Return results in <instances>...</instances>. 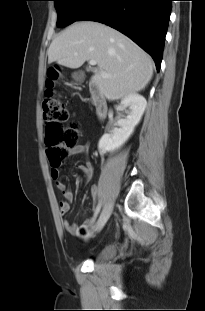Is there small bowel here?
I'll list each match as a JSON object with an SVG mask.
<instances>
[{"mask_svg":"<svg viewBox=\"0 0 205 311\" xmlns=\"http://www.w3.org/2000/svg\"><path fill=\"white\" fill-rule=\"evenodd\" d=\"M89 152V144L88 143H83V144H78L75 148L70 150V155H87ZM79 168L82 170L84 173L85 179L89 181L94 173V165L92 160L87 158L85 162L81 165H79ZM52 178L56 182V187L58 191L63 195L65 200L59 202V212L62 216L68 214L70 211V202H72L74 196L73 193L70 191V189L67 187V185L60 180L59 178V173L54 172L53 170L51 171ZM90 194L93 199H95L96 194H97V187L92 186L90 188ZM97 208V207H96ZM96 210V209H95ZM94 216L85 220L82 224L78 225L76 223H71L68 220L63 221V226L64 228L71 234H79L82 230H86L90 228L94 221Z\"/></svg>","mask_w":205,"mask_h":311,"instance_id":"obj_1","label":"small bowel"}]
</instances>
